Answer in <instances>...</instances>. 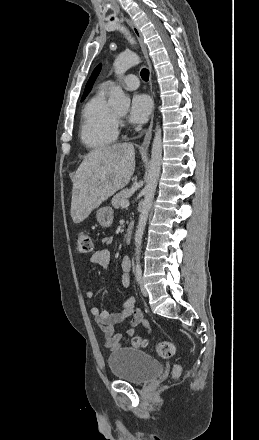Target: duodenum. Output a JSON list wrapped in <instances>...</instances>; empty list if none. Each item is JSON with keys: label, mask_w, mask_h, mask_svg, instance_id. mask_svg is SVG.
I'll return each mask as SVG.
<instances>
[{"label": "duodenum", "mask_w": 259, "mask_h": 440, "mask_svg": "<svg viewBox=\"0 0 259 440\" xmlns=\"http://www.w3.org/2000/svg\"><path fill=\"white\" fill-rule=\"evenodd\" d=\"M133 238V224H129L127 226L126 232H125V241L127 244H130Z\"/></svg>", "instance_id": "obj_1"}]
</instances>
